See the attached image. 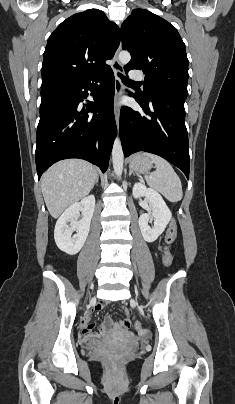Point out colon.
I'll return each instance as SVG.
<instances>
[{
    "label": "colon",
    "instance_id": "5ec220e1",
    "mask_svg": "<svg viewBox=\"0 0 235 404\" xmlns=\"http://www.w3.org/2000/svg\"><path fill=\"white\" fill-rule=\"evenodd\" d=\"M177 236V224L174 220H172L167 228L166 235H165V244L166 247L164 249V262L167 266H170L172 263V255L169 251V246L175 241ZM124 327L129 328L131 327V320L129 316H126L122 321ZM134 329H139L140 324L138 322L133 323ZM107 360L113 361V358L107 357Z\"/></svg>",
    "mask_w": 235,
    "mask_h": 404
}]
</instances>
